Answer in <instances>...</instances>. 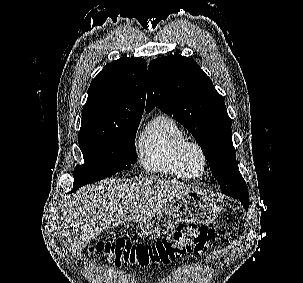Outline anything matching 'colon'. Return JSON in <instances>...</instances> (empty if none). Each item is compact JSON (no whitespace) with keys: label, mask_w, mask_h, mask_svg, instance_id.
Instances as JSON below:
<instances>
[{"label":"colon","mask_w":303,"mask_h":283,"mask_svg":"<svg viewBox=\"0 0 303 283\" xmlns=\"http://www.w3.org/2000/svg\"><path fill=\"white\" fill-rule=\"evenodd\" d=\"M212 237L207 226L182 225L171 236L153 243L105 240L92 245L90 252L102 254L116 266L146 267L169 264L186 253H204Z\"/></svg>","instance_id":"colon-1"}]
</instances>
